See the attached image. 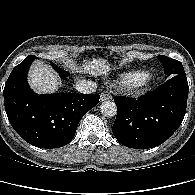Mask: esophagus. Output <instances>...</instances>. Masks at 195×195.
<instances>
[{"instance_id":"1","label":"esophagus","mask_w":195,"mask_h":195,"mask_svg":"<svg viewBox=\"0 0 195 195\" xmlns=\"http://www.w3.org/2000/svg\"><path fill=\"white\" fill-rule=\"evenodd\" d=\"M100 99L101 101H106V100H111L112 99V96L111 94L108 92V91H103L100 95Z\"/></svg>"}]
</instances>
